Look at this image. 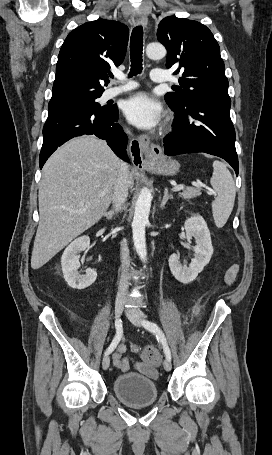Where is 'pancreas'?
<instances>
[{
    "mask_svg": "<svg viewBox=\"0 0 272 455\" xmlns=\"http://www.w3.org/2000/svg\"><path fill=\"white\" fill-rule=\"evenodd\" d=\"M201 194L202 192L200 187H187L183 190L182 193L179 194V196L189 201L193 198L200 196Z\"/></svg>",
    "mask_w": 272,
    "mask_h": 455,
    "instance_id": "1",
    "label": "pancreas"
}]
</instances>
